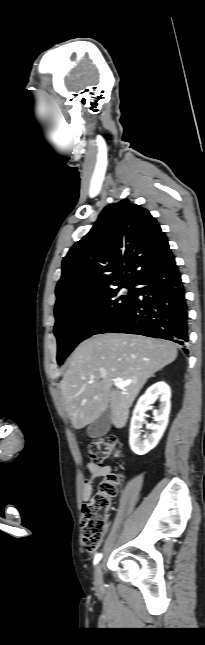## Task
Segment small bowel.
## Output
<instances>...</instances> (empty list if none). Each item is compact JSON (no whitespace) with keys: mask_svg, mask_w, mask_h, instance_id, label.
I'll return each instance as SVG.
<instances>
[{"mask_svg":"<svg viewBox=\"0 0 205 645\" xmlns=\"http://www.w3.org/2000/svg\"><path fill=\"white\" fill-rule=\"evenodd\" d=\"M89 476L83 481L82 499L87 501L92 493L94 481L102 476H107L111 473L112 468L109 465H95L89 463L87 465Z\"/></svg>","mask_w":205,"mask_h":645,"instance_id":"obj_1","label":"small bowel"}]
</instances>
